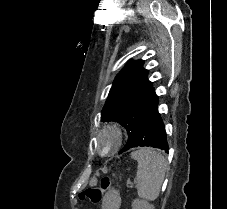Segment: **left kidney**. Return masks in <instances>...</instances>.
I'll use <instances>...</instances> for the list:
<instances>
[{"instance_id": "1", "label": "left kidney", "mask_w": 227, "mask_h": 209, "mask_svg": "<svg viewBox=\"0 0 227 209\" xmlns=\"http://www.w3.org/2000/svg\"><path fill=\"white\" fill-rule=\"evenodd\" d=\"M132 209H154V205H150L147 201H141V199H135L132 203Z\"/></svg>"}]
</instances>
